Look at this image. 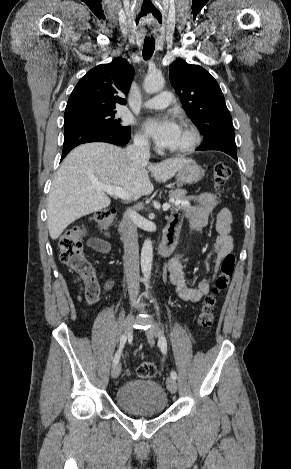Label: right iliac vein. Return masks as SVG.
<instances>
[{
    "label": "right iliac vein",
    "instance_id": "1",
    "mask_svg": "<svg viewBox=\"0 0 291 469\" xmlns=\"http://www.w3.org/2000/svg\"><path fill=\"white\" fill-rule=\"evenodd\" d=\"M133 322H134V316L132 313H130L127 316L125 320V324H124V333L126 336L131 333ZM120 373H121V364L117 363L112 367L111 375L113 378H118Z\"/></svg>",
    "mask_w": 291,
    "mask_h": 469
}]
</instances>
